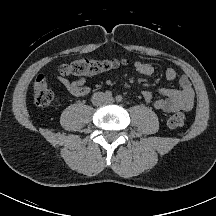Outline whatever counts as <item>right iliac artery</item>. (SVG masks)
<instances>
[{
    "label": "right iliac artery",
    "instance_id": "82829eb1",
    "mask_svg": "<svg viewBox=\"0 0 216 216\" xmlns=\"http://www.w3.org/2000/svg\"><path fill=\"white\" fill-rule=\"evenodd\" d=\"M105 97L106 98H112V92L111 91H106L105 92Z\"/></svg>",
    "mask_w": 216,
    "mask_h": 216
}]
</instances>
